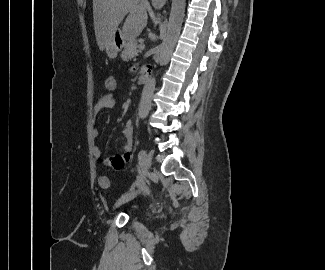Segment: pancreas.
I'll return each mask as SVG.
<instances>
[{"label": "pancreas", "instance_id": "pancreas-1", "mask_svg": "<svg viewBox=\"0 0 325 270\" xmlns=\"http://www.w3.org/2000/svg\"><path fill=\"white\" fill-rule=\"evenodd\" d=\"M137 41L135 39H130L124 44V50L121 57L124 61H128L135 57L138 53L137 51Z\"/></svg>", "mask_w": 325, "mask_h": 270}]
</instances>
